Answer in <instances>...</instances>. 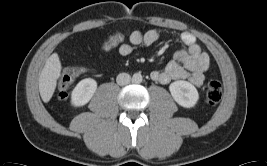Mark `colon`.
I'll list each match as a JSON object with an SVG mask.
<instances>
[{
  "label": "colon",
  "mask_w": 267,
  "mask_h": 166,
  "mask_svg": "<svg viewBox=\"0 0 267 166\" xmlns=\"http://www.w3.org/2000/svg\"><path fill=\"white\" fill-rule=\"evenodd\" d=\"M123 36L120 33H113L108 40L103 43L104 49H111L113 47L120 46L123 43ZM73 72H66L58 83V96L61 99L67 98L70 89L74 81ZM223 94V87L221 83L217 80H209L206 87L205 100L208 105L217 104Z\"/></svg>",
  "instance_id": "5ec220e1"
}]
</instances>
